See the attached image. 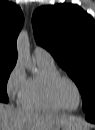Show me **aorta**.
Masks as SVG:
<instances>
[{
    "instance_id": "762f6f07",
    "label": "aorta",
    "mask_w": 95,
    "mask_h": 130,
    "mask_svg": "<svg viewBox=\"0 0 95 130\" xmlns=\"http://www.w3.org/2000/svg\"><path fill=\"white\" fill-rule=\"evenodd\" d=\"M17 54H18V59L23 61L29 69H32L33 64H32L31 54H30L29 36L27 31L25 30H23L18 36Z\"/></svg>"
}]
</instances>
